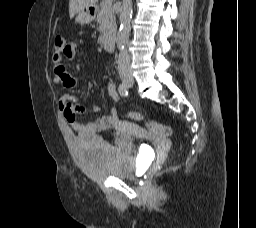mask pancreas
Here are the masks:
<instances>
[{"label": "pancreas", "mask_w": 256, "mask_h": 228, "mask_svg": "<svg viewBox=\"0 0 256 228\" xmlns=\"http://www.w3.org/2000/svg\"><path fill=\"white\" fill-rule=\"evenodd\" d=\"M112 2L113 0L106 3V0H103L100 4L97 22L99 23L98 30L102 34L110 32L115 27V16L112 9Z\"/></svg>", "instance_id": "cf45deb5"}]
</instances>
